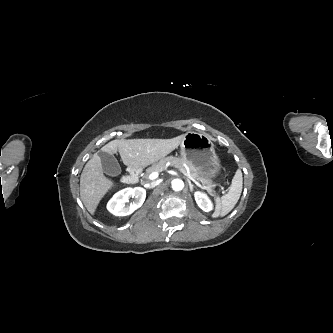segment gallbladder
I'll use <instances>...</instances> for the list:
<instances>
[{
    "mask_svg": "<svg viewBox=\"0 0 333 333\" xmlns=\"http://www.w3.org/2000/svg\"><path fill=\"white\" fill-rule=\"evenodd\" d=\"M98 156L101 159L104 173H106L109 176H118L121 174L122 172L121 166L119 165L117 159L112 154L100 150L98 152Z\"/></svg>",
    "mask_w": 333,
    "mask_h": 333,
    "instance_id": "1",
    "label": "gallbladder"
}]
</instances>
